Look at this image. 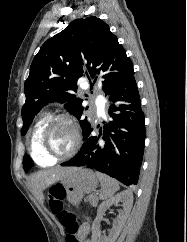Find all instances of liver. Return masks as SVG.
Instances as JSON below:
<instances>
[{"mask_svg": "<svg viewBox=\"0 0 187 242\" xmlns=\"http://www.w3.org/2000/svg\"><path fill=\"white\" fill-rule=\"evenodd\" d=\"M75 167H57L55 169L39 171L31 177V185L35 194L41 203L44 201L43 191L58 181H61L65 176L70 174Z\"/></svg>", "mask_w": 187, "mask_h": 242, "instance_id": "6515ba94", "label": "liver"}]
</instances>
